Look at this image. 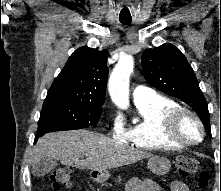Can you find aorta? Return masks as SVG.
<instances>
[{
  "label": "aorta",
  "mask_w": 221,
  "mask_h": 191,
  "mask_svg": "<svg viewBox=\"0 0 221 191\" xmlns=\"http://www.w3.org/2000/svg\"><path fill=\"white\" fill-rule=\"evenodd\" d=\"M133 68V57L130 55L122 56L114 67L108 81L110 97L121 109L129 107V79Z\"/></svg>",
  "instance_id": "762f6f07"
}]
</instances>
